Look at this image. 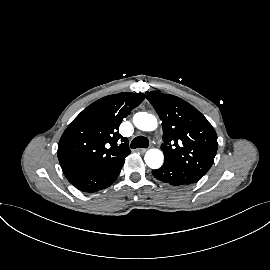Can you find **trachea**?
<instances>
[{"label":"trachea","instance_id":"1","mask_svg":"<svg viewBox=\"0 0 270 270\" xmlns=\"http://www.w3.org/2000/svg\"><path fill=\"white\" fill-rule=\"evenodd\" d=\"M149 146V140L144 136H138L132 140L130 147L135 148H147Z\"/></svg>","mask_w":270,"mask_h":270}]
</instances>
